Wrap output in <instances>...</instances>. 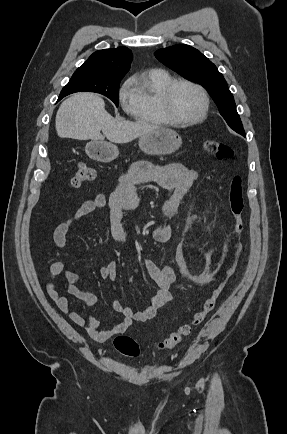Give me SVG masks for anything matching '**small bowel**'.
I'll return each mask as SVG.
<instances>
[{
  "label": "small bowel",
  "mask_w": 287,
  "mask_h": 434,
  "mask_svg": "<svg viewBox=\"0 0 287 434\" xmlns=\"http://www.w3.org/2000/svg\"><path fill=\"white\" fill-rule=\"evenodd\" d=\"M196 170L188 169L180 163H172L163 166H155L145 161L134 162L127 173L119 179V184L109 199L104 195H96L85 201L80 208L69 218L57 225L54 230V244L64 251L67 235L87 215L96 210L106 208L108 212L109 235L112 239L127 245L129 231L123 225L126 210L134 209L139 204L137 187L142 183H155L168 191V198L163 204L162 215L170 218L177 214L178 205L187 190L198 180ZM173 237V227L168 223L159 224L153 231L156 242L164 243ZM144 266L150 280L158 290L151 297L148 306L138 312L125 306L120 300H112V309L123 316L122 320L112 328L101 330L100 322L91 315L83 316L70 307L68 298L61 295L55 289L53 282L48 284V293L57 307L65 313L69 319L97 342H106L112 337L126 332L134 322H145L156 315L157 311L173 299L171 286L176 280V272L173 266L159 267L151 260H144ZM49 276L54 280L63 276L68 283L67 293L83 300L87 305H94L97 297L86 290L80 289L77 283L82 281L83 276L74 271L66 270L65 263L61 260L54 261L49 269ZM102 279L115 281L117 278V263L110 261L99 270Z\"/></svg>",
  "instance_id": "obj_1"
}]
</instances>
